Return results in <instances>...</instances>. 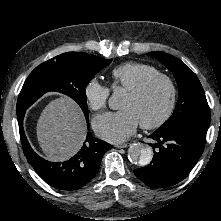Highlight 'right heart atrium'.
Returning <instances> with one entry per match:
<instances>
[{
	"mask_svg": "<svg viewBox=\"0 0 221 221\" xmlns=\"http://www.w3.org/2000/svg\"><path fill=\"white\" fill-rule=\"evenodd\" d=\"M109 94V88L96 78L90 79L84 88L86 102L89 108L96 112H101L106 108Z\"/></svg>",
	"mask_w": 221,
	"mask_h": 221,
	"instance_id": "d8ad5b80",
	"label": "right heart atrium"
}]
</instances>
